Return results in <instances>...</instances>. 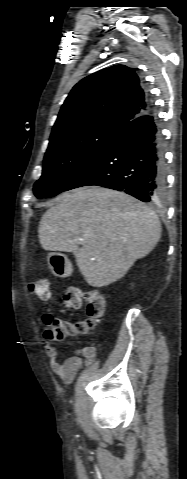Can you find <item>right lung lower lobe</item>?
Segmentation results:
<instances>
[{
    "label": "right lung lower lobe",
    "instance_id": "1",
    "mask_svg": "<svg viewBox=\"0 0 187 479\" xmlns=\"http://www.w3.org/2000/svg\"><path fill=\"white\" fill-rule=\"evenodd\" d=\"M97 185L150 202L166 191L163 139L152 109L132 120L64 189Z\"/></svg>",
    "mask_w": 187,
    "mask_h": 479
}]
</instances>
